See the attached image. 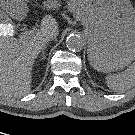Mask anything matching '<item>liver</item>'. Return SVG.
<instances>
[{
  "label": "liver",
  "mask_w": 135,
  "mask_h": 135,
  "mask_svg": "<svg viewBox=\"0 0 135 135\" xmlns=\"http://www.w3.org/2000/svg\"><path fill=\"white\" fill-rule=\"evenodd\" d=\"M47 33L59 34V27L52 16H45L41 28L30 36L16 39L0 35V95L22 97L30 93L32 68L43 49Z\"/></svg>",
  "instance_id": "liver-1"
}]
</instances>
